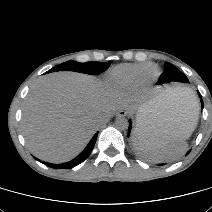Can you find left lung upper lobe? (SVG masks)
Segmentation results:
<instances>
[{
	"instance_id": "obj_1",
	"label": "left lung upper lobe",
	"mask_w": 212,
	"mask_h": 212,
	"mask_svg": "<svg viewBox=\"0 0 212 212\" xmlns=\"http://www.w3.org/2000/svg\"><path fill=\"white\" fill-rule=\"evenodd\" d=\"M166 70L160 75L158 84L171 82H188L187 77L181 73L174 65L165 63Z\"/></svg>"
}]
</instances>
